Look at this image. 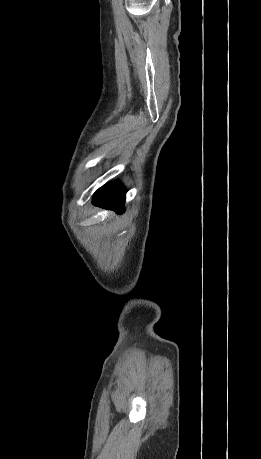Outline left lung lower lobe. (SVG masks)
<instances>
[{"mask_svg": "<svg viewBox=\"0 0 261 459\" xmlns=\"http://www.w3.org/2000/svg\"><path fill=\"white\" fill-rule=\"evenodd\" d=\"M93 201L97 206L120 212L125 201V190L118 182H111L99 189Z\"/></svg>", "mask_w": 261, "mask_h": 459, "instance_id": "obj_1", "label": "left lung lower lobe"}]
</instances>
